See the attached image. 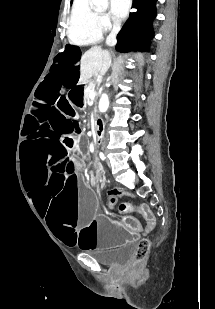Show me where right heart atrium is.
Here are the masks:
<instances>
[{
	"label": "right heart atrium",
	"mask_w": 215,
	"mask_h": 309,
	"mask_svg": "<svg viewBox=\"0 0 215 309\" xmlns=\"http://www.w3.org/2000/svg\"><path fill=\"white\" fill-rule=\"evenodd\" d=\"M104 19H105V23L107 24V27H108V28H111V27H112V24L110 23L109 16H108V15H105V16H104Z\"/></svg>",
	"instance_id": "d8ad5b80"
}]
</instances>
